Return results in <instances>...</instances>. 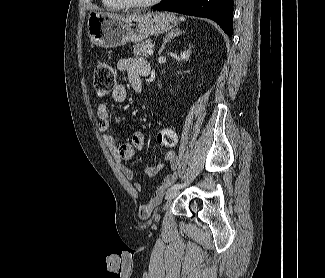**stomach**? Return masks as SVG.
Returning <instances> with one entry per match:
<instances>
[{
  "mask_svg": "<svg viewBox=\"0 0 325 278\" xmlns=\"http://www.w3.org/2000/svg\"><path fill=\"white\" fill-rule=\"evenodd\" d=\"M177 23L178 19L173 14L163 12L126 17L91 12L87 21V33L93 45L116 48L127 42H140L148 36L166 32Z\"/></svg>",
  "mask_w": 325,
  "mask_h": 278,
  "instance_id": "obj_1",
  "label": "stomach"
}]
</instances>
